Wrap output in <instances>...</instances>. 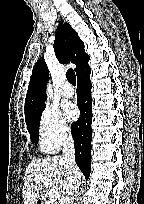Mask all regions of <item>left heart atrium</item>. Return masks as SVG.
<instances>
[{
    "label": "left heart atrium",
    "mask_w": 144,
    "mask_h": 204,
    "mask_svg": "<svg viewBox=\"0 0 144 204\" xmlns=\"http://www.w3.org/2000/svg\"><path fill=\"white\" fill-rule=\"evenodd\" d=\"M65 113L69 120L74 121L79 116V110L76 105L70 103L65 107Z\"/></svg>",
    "instance_id": "39dd6f15"
}]
</instances>
